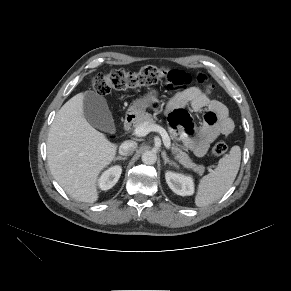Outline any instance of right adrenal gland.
<instances>
[{"mask_svg":"<svg viewBox=\"0 0 291 291\" xmlns=\"http://www.w3.org/2000/svg\"><path fill=\"white\" fill-rule=\"evenodd\" d=\"M114 160H115V161H116V160H127V157L117 156V157H115Z\"/></svg>","mask_w":291,"mask_h":291,"instance_id":"right-adrenal-gland-1","label":"right adrenal gland"}]
</instances>
